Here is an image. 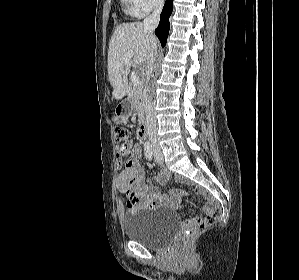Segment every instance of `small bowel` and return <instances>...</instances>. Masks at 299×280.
<instances>
[{
	"label": "small bowel",
	"instance_id": "small-bowel-1",
	"mask_svg": "<svg viewBox=\"0 0 299 280\" xmlns=\"http://www.w3.org/2000/svg\"><path fill=\"white\" fill-rule=\"evenodd\" d=\"M140 153V146L135 145L132 149L129 166L120 173L117 179L119 191L127 196L128 207L155 208L166 206L171 209H177L185 192L181 189H173L167 193H162L156 188L155 184L162 185L169 180L170 173L167 171L160 172L153 182L147 181L142 168L137 162ZM214 210V205L210 204L205 207L204 212L211 214ZM200 220L201 218L190 219L185 222V225H190Z\"/></svg>",
	"mask_w": 299,
	"mask_h": 280
}]
</instances>
